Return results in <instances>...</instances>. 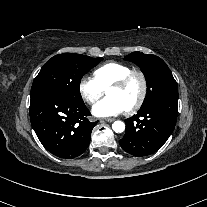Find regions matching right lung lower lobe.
<instances>
[{"instance_id": "98d812e1", "label": "right lung lower lobe", "mask_w": 207, "mask_h": 207, "mask_svg": "<svg viewBox=\"0 0 207 207\" xmlns=\"http://www.w3.org/2000/svg\"><path fill=\"white\" fill-rule=\"evenodd\" d=\"M30 120L42 145L64 159L80 156L89 146L95 126L83 101H76L56 92L31 95Z\"/></svg>"}]
</instances>
